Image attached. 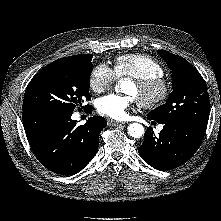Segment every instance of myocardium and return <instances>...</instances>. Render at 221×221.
Returning a JSON list of instances; mask_svg holds the SVG:
<instances>
[{"instance_id":"f54148a6","label":"myocardium","mask_w":221,"mask_h":221,"mask_svg":"<svg viewBox=\"0 0 221 221\" xmlns=\"http://www.w3.org/2000/svg\"><path fill=\"white\" fill-rule=\"evenodd\" d=\"M138 88L136 101L143 109H155L161 106L169 97L170 84L163 77L135 79Z\"/></svg>"}]
</instances>
